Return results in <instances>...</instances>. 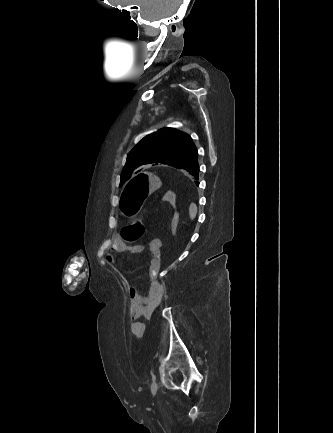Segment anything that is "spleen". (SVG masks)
<instances>
[{"label": "spleen", "mask_w": 333, "mask_h": 433, "mask_svg": "<svg viewBox=\"0 0 333 433\" xmlns=\"http://www.w3.org/2000/svg\"><path fill=\"white\" fill-rule=\"evenodd\" d=\"M196 215H197V206L195 204H192L190 208L191 219H195Z\"/></svg>", "instance_id": "spleen-1"}]
</instances>
